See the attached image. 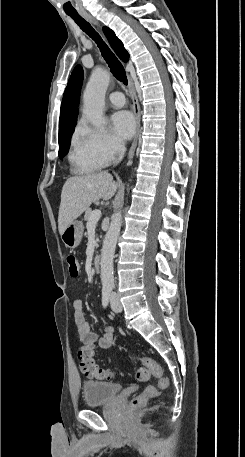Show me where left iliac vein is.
<instances>
[{"label":"left iliac vein","instance_id":"1","mask_svg":"<svg viewBox=\"0 0 245 457\" xmlns=\"http://www.w3.org/2000/svg\"><path fill=\"white\" fill-rule=\"evenodd\" d=\"M111 308L114 312L119 313L122 311V304L115 293L111 294Z\"/></svg>","mask_w":245,"mask_h":457}]
</instances>
